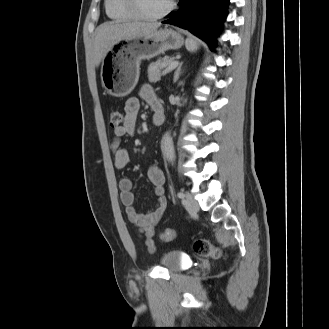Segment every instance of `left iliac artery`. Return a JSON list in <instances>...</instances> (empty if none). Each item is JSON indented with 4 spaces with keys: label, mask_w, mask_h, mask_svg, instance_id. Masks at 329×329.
Listing matches in <instances>:
<instances>
[{
    "label": "left iliac artery",
    "mask_w": 329,
    "mask_h": 329,
    "mask_svg": "<svg viewBox=\"0 0 329 329\" xmlns=\"http://www.w3.org/2000/svg\"><path fill=\"white\" fill-rule=\"evenodd\" d=\"M177 196H178V198H180V199H184V198H185V194H184L183 191L178 192V193H177Z\"/></svg>",
    "instance_id": "1"
}]
</instances>
